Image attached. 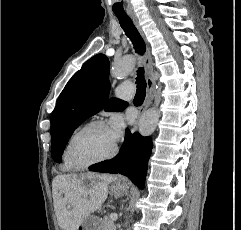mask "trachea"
<instances>
[{
    "instance_id": "1",
    "label": "trachea",
    "mask_w": 241,
    "mask_h": 230,
    "mask_svg": "<svg viewBox=\"0 0 241 230\" xmlns=\"http://www.w3.org/2000/svg\"><path fill=\"white\" fill-rule=\"evenodd\" d=\"M117 16L119 23L124 30L127 37L130 38L134 45V49L136 53L143 54L145 52V43L140 36L139 32L137 31L136 27L134 26L132 20L129 18V16L125 13H115ZM136 84H137V91L134 98V103H143L145 99L146 94V81L144 78V68H139L137 71V78H136Z\"/></svg>"
}]
</instances>
